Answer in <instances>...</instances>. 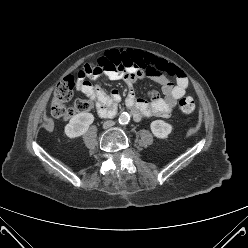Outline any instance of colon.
I'll use <instances>...</instances> for the list:
<instances>
[{
    "instance_id": "1",
    "label": "colon",
    "mask_w": 248,
    "mask_h": 248,
    "mask_svg": "<svg viewBox=\"0 0 248 248\" xmlns=\"http://www.w3.org/2000/svg\"><path fill=\"white\" fill-rule=\"evenodd\" d=\"M131 63L123 58L118 52H110L93 60L87 66L89 74H99L105 71H127ZM74 79L72 76L62 78L56 85L51 103V114L58 119L68 120L78 113L88 112L93 103L88 99H77L74 104L67 108L65 102L73 95ZM178 109L183 114H190L195 109L192 97L187 96L179 101Z\"/></svg>"
}]
</instances>
